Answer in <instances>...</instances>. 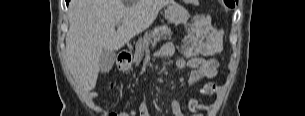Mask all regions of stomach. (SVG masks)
Instances as JSON below:
<instances>
[{
  "label": "stomach",
  "mask_w": 305,
  "mask_h": 116,
  "mask_svg": "<svg viewBox=\"0 0 305 116\" xmlns=\"http://www.w3.org/2000/svg\"><path fill=\"white\" fill-rule=\"evenodd\" d=\"M165 18L169 23L175 25L186 23L188 20V12L183 6L173 2L165 10ZM127 67L128 66L125 65V68Z\"/></svg>",
  "instance_id": "stomach-1"
}]
</instances>
